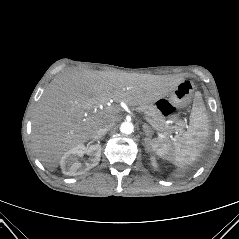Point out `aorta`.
I'll return each mask as SVG.
<instances>
[{"label":"aorta","instance_id":"obj_1","mask_svg":"<svg viewBox=\"0 0 239 239\" xmlns=\"http://www.w3.org/2000/svg\"><path fill=\"white\" fill-rule=\"evenodd\" d=\"M134 131V125L130 121H125L120 125V132L123 134H131Z\"/></svg>","mask_w":239,"mask_h":239}]
</instances>
